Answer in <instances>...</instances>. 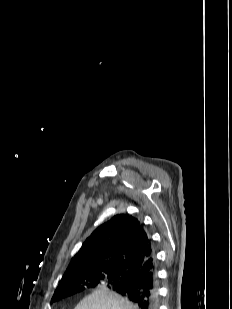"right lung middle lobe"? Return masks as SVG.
<instances>
[{
	"label": "right lung middle lobe",
	"instance_id": "dd1d6c3e",
	"mask_svg": "<svg viewBox=\"0 0 232 309\" xmlns=\"http://www.w3.org/2000/svg\"><path fill=\"white\" fill-rule=\"evenodd\" d=\"M127 280V274L123 272L103 270L81 272L65 282L59 283L51 302L71 296L85 288L95 286L113 288L125 284Z\"/></svg>",
	"mask_w": 232,
	"mask_h": 309
}]
</instances>
